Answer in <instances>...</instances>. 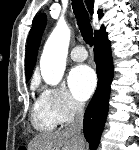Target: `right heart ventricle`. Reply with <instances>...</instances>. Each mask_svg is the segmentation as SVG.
I'll return each mask as SVG.
<instances>
[{"mask_svg":"<svg viewBox=\"0 0 139 150\" xmlns=\"http://www.w3.org/2000/svg\"><path fill=\"white\" fill-rule=\"evenodd\" d=\"M31 122L33 127L41 132L52 131L60 124L57 115L42 94L33 104Z\"/></svg>","mask_w":139,"mask_h":150,"instance_id":"obj_1","label":"right heart ventricle"}]
</instances>
